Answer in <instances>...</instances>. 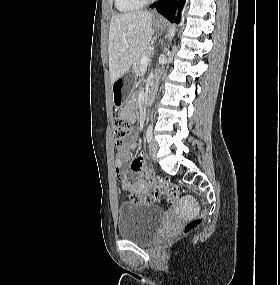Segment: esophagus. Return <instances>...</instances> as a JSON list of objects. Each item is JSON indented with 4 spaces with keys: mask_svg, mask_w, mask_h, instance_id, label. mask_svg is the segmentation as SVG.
Segmentation results:
<instances>
[{
    "mask_svg": "<svg viewBox=\"0 0 280 285\" xmlns=\"http://www.w3.org/2000/svg\"><path fill=\"white\" fill-rule=\"evenodd\" d=\"M155 15H156V17H160L159 14H157V13Z\"/></svg>",
    "mask_w": 280,
    "mask_h": 285,
    "instance_id": "34e87169",
    "label": "esophagus"
}]
</instances>
